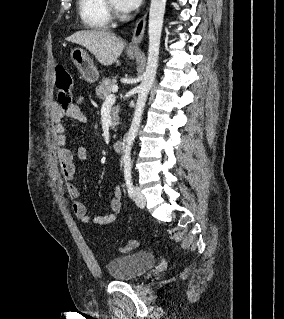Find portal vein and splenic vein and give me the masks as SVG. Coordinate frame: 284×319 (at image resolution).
I'll return each mask as SVG.
<instances>
[{
  "mask_svg": "<svg viewBox=\"0 0 284 319\" xmlns=\"http://www.w3.org/2000/svg\"><path fill=\"white\" fill-rule=\"evenodd\" d=\"M118 91V86H113L112 87V92L113 93H116ZM115 101V95L114 94H109L107 97H106V100L105 102H114Z\"/></svg>",
  "mask_w": 284,
  "mask_h": 319,
  "instance_id": "portal-vein-and-splenic-vein-1",
  "label": "portal vein and splenic vein"
}]
</instances>
